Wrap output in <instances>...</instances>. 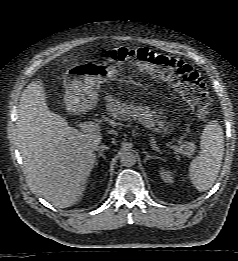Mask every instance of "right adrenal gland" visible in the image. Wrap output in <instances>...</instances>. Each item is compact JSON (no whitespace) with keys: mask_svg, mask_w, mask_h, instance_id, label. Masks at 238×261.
I'll use <instances>...</instances> for the list:
<instances>
[{"mask_svg":"<svg viewBox=\"0 0 238 261\" xmlns=\"http://www.w3.org/2000/svg\"><path fill=\"white\" fill-rule=\"evenodd\" d=\"M109 148L108 147H106V146H101V149H100V151H99V153H98V155H97V157H96V159H95V165H97L98 164V158L99 157H102L104 160L106 159V157H105V155L103 154V151L104 150H108Z\"/></svg>","mask_w":238,"mask_h":261,"instance_id":"2a0ac1e0","label":"right adrenal gland"}]
</instances>
